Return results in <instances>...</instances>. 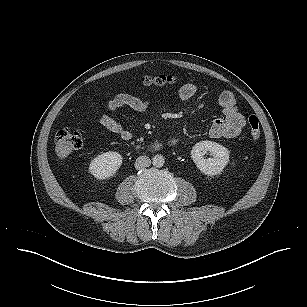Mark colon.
Segmentation results:
<instances>
[{
    "label": "colon",
    "mask_w": 307,
    "mask_h": 307,
    "mask_svg": "<svg viewBox=\"0 0 307 307\" xmlns=\"http://www.w3.org/2000/svg\"><path fill=\"white\" fill-rule=\"evenodd\" d=\"M142 83L145 86L155 87H167L175 83V79L171 76H156L145 77L142 79ZM248 131L253 141H258L261 136L259 119L255 115H251L248 118ZM83 136L80 131L73 130L71 128H63L58 131L55 143L54 151L59 159H64L79 149L82 145Z\"/></svg>",
    "instance_id": "1"
}]
</instances>
